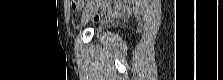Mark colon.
Wrapping results in <instances>:
<instances>
[{
  "label": "colon",
  "mask_w": 223,
  "mask_h": 80,
  "mask_svg": "<svg viewBox=\"0 0 223 80\" xmlns=\"http://www.w3.org/2000/svg\"><path fill=\"white\" fill-rule=\"evenodd\" d=\"M122 0H111V1H108V3L114 7H117V6H120L122 4ZM84 4V1L83 0H71V6L73 9H77V10H80L82 8ZM99 17L97 16L96 17V20H98Z\"/></svg>",
  "instance_id": "obj_1"
}]
</instances>
